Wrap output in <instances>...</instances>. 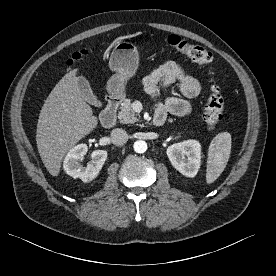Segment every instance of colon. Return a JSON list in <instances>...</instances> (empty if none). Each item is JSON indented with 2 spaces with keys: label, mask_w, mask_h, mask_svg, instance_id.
<instances>
[{
  "label": "colon",
  "mask_w": 276,
  "mask_h": 276,
  "mask_svg": "<svg viewBox=\"0 0 276 276\" xmlns=\"http://www.w3.org/2000/svg\"><path fill=\"white\" fill-rule=\"evenodd\" d=\"M168 44L200 65H211L213 63V57L209 51L201 46L192 44L177 35L169 36ZM87 54L88 52L85 50L74 52L67 63L72 65L75 61L80 60ZM224 109L225 99L221 88L218 85H213L205 102L203 116L204 122L209 129H214L221 122Z\"/></svg>",
  "instance_id": "colon-1"
}]
</instances>
